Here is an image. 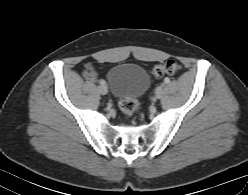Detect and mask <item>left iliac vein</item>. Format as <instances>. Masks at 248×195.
Returning <instances> with one entry per match:
<instances>
[{
	"instance_id": "4c4485c4",
	"label": "left iliac vein",
	"mask_w": 248,
	"mask_h": 195,
	"mask_svg": "<svg viewBox=\"0 0 248 195\" xmlns=\"http://www.w3.org/2000/svg\"><path fill=\"white\" fill-rule=\"evenodd\" d=\"M163 94V89L162 87L157 88L156 92H155V98L159 99L162 97Z\"/></svg>"
}]
</instances>
